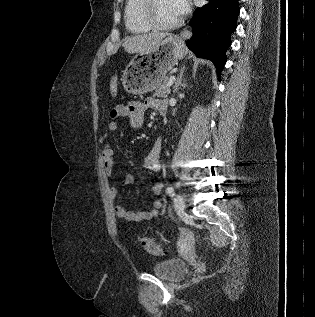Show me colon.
I'll list each match as a JSON object with an SVG mask.
<instances>
[{
	"mask_svg": "<svg viewBox=\"0 0 315 317\" xmlns=\"http://www.w3.org/2000/svg\"><path fill=\"white\" fill-rule=\"evenodd\" d=\"M110 91L112 95H116L117 93V78H113L110 84ZM142 247L146 252L151 255L160 256L165 253L164 249L155 243L152 239L148 237L141 238Z\"/></svg>",
	"mask_w": 315,
	"mask_h": 317,
	"instance_id": "colon-1",
	"label": "colon"
}]
</instances>
